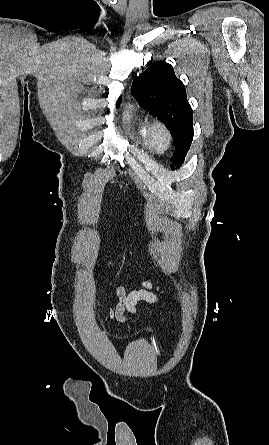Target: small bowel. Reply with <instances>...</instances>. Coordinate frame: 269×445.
I'll return each mask as SVG.
<instances>
[{
  "instance_id": "obj_1",
  "label": "small bowel",
  "mask_w": 269,
  "mask_h": 445,
  "mask_svg": "<svg viewBox=\"0 0 269 445\" xmlns=\"http://www.w3.org/2000/svg\"><path fill=\"white\" fill-rule=\"evenodd\" d=\"M158 291L159 287L153 285L148 280L141 281L139 288L130 292H127L124 286H118L116 289L117 303L114 309H110V316L119 322H128L130 315L137 313L139 302L157 303Z\"/></svg>"
}]
</instances>
